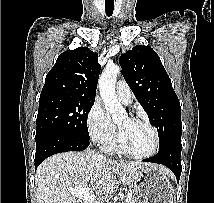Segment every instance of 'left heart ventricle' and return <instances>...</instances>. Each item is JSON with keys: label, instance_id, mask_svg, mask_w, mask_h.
Returning a JSON list of instances; mask_svg holds the SVG:
<instances>
[{"label": "left heart ventricle", "instance_id": "left-heart-ventricle-1", "mask_svg": "<svg viewBox=\"0 0 214 203\" xmlns=\"http://www.w3.org/2000/svg\"><path fill=\"white\" fill-rule=\"evenodd\" d=\"M124 147L134 154L149 152L154 143L152 131L144 124L123 116L118 121Z\"/></svg>", "mask_w": 214, "mask_h": 203}]
</instances>
